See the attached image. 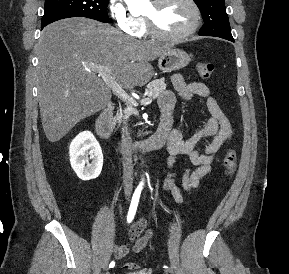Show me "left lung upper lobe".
<instances>
[{"mask_svg":"<svg viewBox=\"0 0 289 274\" xmlns=\"http://www.w3.org/2000/svg\"><path fill=\"white\" fill-rule=\"evenodd\" d=\"M198 5L205 25L199 35L233 38L224 0H194Z\"/></svg>","mask_w":289,"mask_h":274,"instance_id":"1","label":"left lung upper lobe"}]
</instances>
